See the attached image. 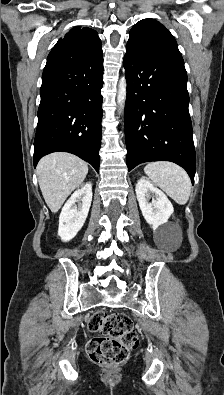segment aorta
<instances>
[{"label": "aorta", "mask_w": 224, "mask_h": 395, "mask_svg": "<svg viewBox=\"0 0 224 395\" xmlns=\"http://www.w3.org/2000/svg\"><path fill=\"white\" fill-rule=\"evenodd\" d=\"M126 96H127V82L125 76H123L118 84L117 103L119 107V111H118L119 114H121L124 109Z\"/></svg>", "instance_id": "762f6f07"}]
</instances>
